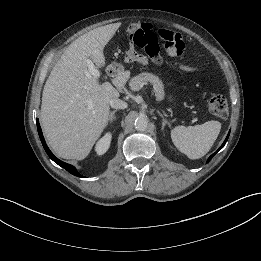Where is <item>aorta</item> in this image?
<instances>
[{
    "instance_id": "1",
    "label": "aorta",
    "mask_w": 261,
    "mask_h": 261,
    "mask_svg": "<svg viewBox=\"0 0 261 261\" xmlns=\"http://www.w3.org/2000/svg\"><path fill=\"white\" fill-rule=\"evenodd\" d=\"M149 120L145 116H140L135 120V128L138 131H145L148 128Z\"/></svg>"
}]
</instances>
